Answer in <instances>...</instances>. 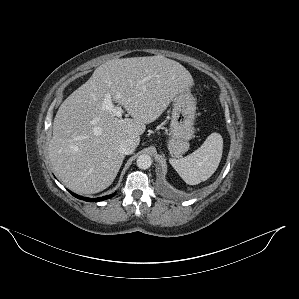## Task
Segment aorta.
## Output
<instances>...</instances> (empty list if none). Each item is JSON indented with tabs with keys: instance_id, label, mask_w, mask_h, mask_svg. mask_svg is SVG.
Returning <instances> with one entry per match:
<instances>
[{
	"instance_id": "aorta-1",
	"label": "aorta",
	"mask_w": 299,
	"mask_h": 299,
	"mask_svg": "<svg viewBox=\"0 0 299 299\" xmlns=\"http://www.w3.org/2000/svg\"><path fill=\"white\" fill-rule=\"evenodd\" d=\"M136 163L140 169L145 170L150 168V166L152 165V158L148 154H141L137 158Z\"/></svg>"
}]
</instances>
